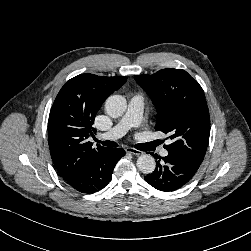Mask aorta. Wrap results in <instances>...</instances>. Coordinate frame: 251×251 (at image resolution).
I'll use <instances>...</instances> for the list:
<instances>
[{
    "instance_id": "obj_1",
    "label": "aorta",
    "mask_w": 251,
    "mask_h": 251,
    "mask_svg": "<svg viewBox=\"0 0 251 251\" xmlns=\"http://www.w3.org/2000/svg\"><path fill=\"white\" fill-rule=\"evenodd\" d=\"M106 113L112 118L121 117L126 110V100L121 95H111L105 102ZM156 162L153 156L143 154L137 159V168L144 174H150L155 170Z\"/></svg>"
}]
</instances>
